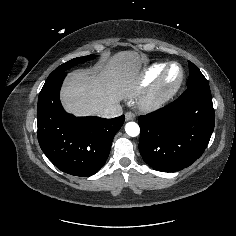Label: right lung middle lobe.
Listing matches in <instances>:
<instances>
[{
  "label": "right lung middle lobe",
  "instance_id": "right-lung-middle-lobe-1",
  "mask_svg": "<svg viewBox=\"0 0 236 236\" xmlns=\"http://www.w3.org/2000/svg\"><path fill=\"white\" fill-rule=\"evenodd\" d=\"M94 56L93 55H88V56H85V57H78V58H74L62 65H60L59 67H57L49 76L47 79H50V78H53L55 76H57L58 74L60 73H63L65 72L66 70L70 69L71 67L79 64V63H83V62H86L90 59H93Z\"/></svg>",
  "mask_w": 236,
  "mask_h": 236
}]
</instances>
